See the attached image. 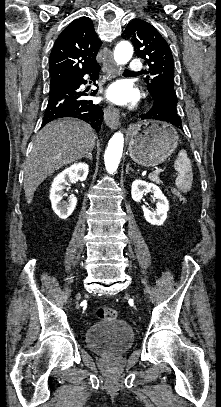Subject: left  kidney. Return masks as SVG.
<instances>
[{
	"mask_svg": "<svg viewBox=\"0 0 221 407\" xmlns=\"http://www.w3.org/2000/svg\"><path fill=\"white\" fill-rule=\"evenodd\" d=\"M149 192L153 193L154 197L157 199L156 210L151 211L145 206H142L144 217L148 223L160 226L167 218V212L169 210L167 198L155 184L142 180L133 181L131 195L135 202H141L143 195Z\"/></svg>",
	"mask_w": 221,
	"mask_h": 407,
	"instance_id": "1",
	"label": "left kidney"
}]
</instances>
